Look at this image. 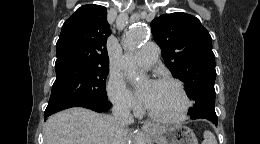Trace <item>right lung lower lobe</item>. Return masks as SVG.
<instances>
[{
  "instance_id": "1",
  "label": "right lung lower lobe",
  "mask_w": 260,
  "mask_h": 144,
  "mask_svg": "<svg viewBox=\"0 0 260 144\" xmlns=\"http://www.w3.org/2000/svg\"><path fill=\"white\" fill-rule=\"evenodd\" d=\"M70 107H77V105H75V106H63V107H58V108L46 110L45 113H44V119H46L48 116H50V115H52V114H54L58 111H61V110H64V109H67V108H70ZM80 107L88 108V109H91V110L96 111V112H105V111L110 109L111 103L109 101H100V102L92 103V104H89V105H82Z\"/></svg>"
}]
</instances>
